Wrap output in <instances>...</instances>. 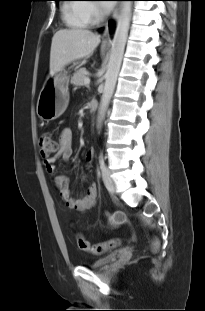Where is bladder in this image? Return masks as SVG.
<instances>
[{"instance_id": "31cf9c89", "label": "bladder", "mask_w": 205, "mask_h": 311, "mask_svg": "<svg viewBox=\"0 0 205 311\" xmlns=\"http://www.w3.org/2000/svg\"><path fill=\"white\" fill-rule=\"evenodd\" d=\"M114 259H115V254H109L107 256H104V257H102L100 259H97V260L93 261L89 265V267L91 269H102L103 267H105L106 265L111 263Z\"/></svg>"}]
</instances>
